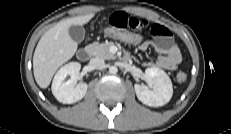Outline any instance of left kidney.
I'll return each instance as SVG.
<instances>
[{
	"label": "left kidney",
	"mask_w": 231,
	"mask_h": 134,
	"mask_svg": "<svg viewBox=\"0 0 231 134\" xmlns=\"http://www.w3.org/2000/svg\"><path fill=\"white\" fill-rule=\"evenodd\" d=\"M146 77L153 83L149 88L143 84H135V92L139 101L151 107L167 104L173 94L172 82L169 76L157 67L147 68Z\"/></svg>",
	"instance_id": "5707ae66"
}]
</instances>
